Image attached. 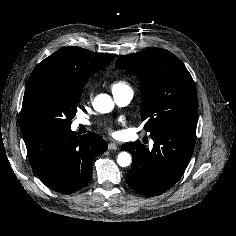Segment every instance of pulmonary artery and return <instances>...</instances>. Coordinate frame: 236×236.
<instances>
[{"label":"pulmonary artery","mask_w":236,"mask_h":236,"mask_svg":"<svg viewBox=\"0 0 236 236\" xmlns=\"http://www.w3.org/2000/svg\"><path fill=\"white\" fill-rule=\"evenodd\" d=\"M113 97L115 102L120 106L127 105L133 98V92L131 89H125L113 92ZM90 123L85 119H79L76 121V126L78 125H89Z\"/></svg>","instance_id":"obj_1"}]
</instances>
